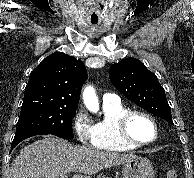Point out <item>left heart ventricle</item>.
<instances>
[{"label":"left heart ventricle","instance_id":"left-heart-ventricle-1","mask_svg":"<svg viewBox=\"0 0 194 178\" xmlns=\"http://www.w3.org/2000/svg\"><path fill=\"white\" fill-rule=\"evenodd\" d=\"M128 130L131 137L139 142H149L155 135L151 122L140 115H135L130 119Z\"/></svg>","mask_w":194,"mask_h":178}]
</instances>
